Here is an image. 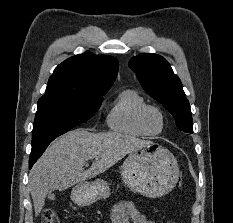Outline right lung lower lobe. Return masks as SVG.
<instances>
[{"label":"right lung lower lobe","instance_id":"right-lung-lower-lobe-1","mask_svg":"<svg viewBox=\"0 0 233 223\" xmlns=\"http://www.w3.org/2000/svg\"><path fill=\"white\" fill-rule=\"evenodd\" d=\"M42 155V153L31 154L29 158V167L32 168L36 160Z\"/></svg>","mask_w":233,"mask_h":223}]
</instances>
